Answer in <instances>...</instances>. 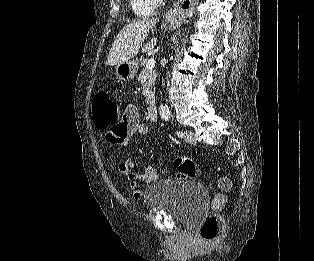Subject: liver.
I'll return each instance as SVG.
<instances>
[{
    "instance_id": "6515ba94",
    "label": "liver",
    "mask_w": 314,
    "mask_h": 261,
    "mask_svg": "<svg viewBox=\"0 0 314 261\" xmlns=\"http://www.w3.org/2000/svg\"><path fill=\"white\" fill-rule=\"evenodd\" d=\"M155 25L156 19H143L127 24L117 35L107 57L106 65L117 66L136 56L149 30ZM156 43L157 39H151L144 45L142 51L152 50Z\"/></svg>"
}]
</instances>
